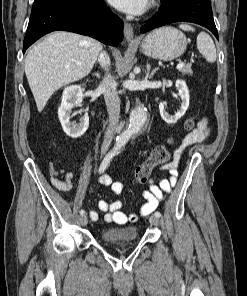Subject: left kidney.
<instances>
[{
    "label": "left kidney",
    "instance_id": "1",
    "mask_svg": "<svg viewBox=\"0 0 247 296\" xmlns=\"http://www.w3.org/2000/svg\"><path fill=\"white\" fill-rule=\"evenodd\" d=\"M176 88L178 89V95L181 98V107L180 109L174 114L170 115L165 111V102H161L159 104L160 115L162 119L168 124H175L186 112L189 107V90L186 83L182 80L176 81Z\"/></svg>",
    "mask_w": 247,
    "mask_h": 296
}]
</instances>
